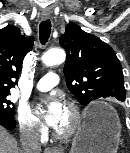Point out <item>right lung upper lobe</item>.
<instances>
[{"instance_id": "right-lung-upper-lobe-1", "label": "right lung upper lobe", "mask_w": 130, "mask_h": 153, "mask_svg": "<svg viewBox=\"0 0 130 153\" xmlns=\"http://www.w3.org/2000/svg\"><path fill=\"white\" fill-rule=\"evenodd\" d=\"M33 41V37L21 35L13 25L0 30V92L10 93L17 83L23 59L32 49Z\"/></svg>"}]
</instances>
